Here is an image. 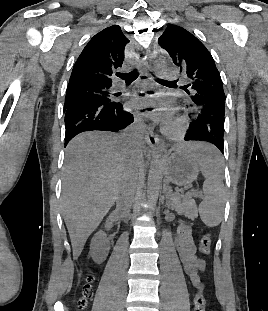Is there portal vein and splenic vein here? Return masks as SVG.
Wrapping results in <instances>:
<instances>
[{
	"instance_id": "portal-vein-and-splenic-vein-1",
	"label": "portal vein and splenic vein",
	"mask_w": 268,
	"mask_h": 311,
	"mask_svg": "<svg viewBox=\"0 0 268 311\" xmlns=\"http://www.w3.org/2000/svg\"><path fill=\"white\" fill-rule=\"evenodd\" d=\"M190 194H193V195H195V196H198V195H199V192L187 193L186 195H190Z\"/></svg>"
}]
</instances>
